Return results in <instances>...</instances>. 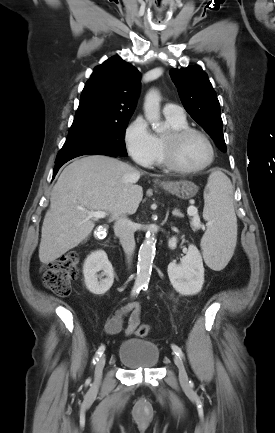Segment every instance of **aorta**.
I'll return each instance as SVG.
<instances>
[{"instance_id":"762f6f07","label":"aorta","mask_w":275,"mask_h":433,"mask_svg":"<svg viewBox=\"0 0 275 433\" xmlns=\"http://www.w3.org/2000/svg\"><path fill=\"white\" fill-rule=\"evenodd\" d=\"M160 94L156 90H150L144 101V114L152 128L156 132L163 131L160 122ZM155 234L149 232L146 235L138 252L136 283L139 286H147L150 280L152 264L155 257Z\"/></svg>"}]
</instances>
